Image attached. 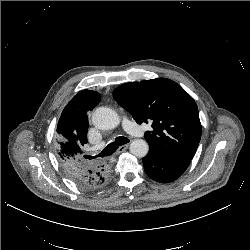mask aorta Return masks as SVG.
Masks as SVG:
<instances>
[{
    "instance_id": "1",
    "label": "aorta",
    "mask_w": 250,
    "mask_h": 250,
    "mask_svg": "<svg viewBox=\"0 0 250 250\" xmlns=\"http://www.w3.org/2000/svg\"><path fill=\"white\" fill-rule=\"evenodd\" d=\"M93 125L101 130H111L120 124V117L116 111L108 107L97 108L92 116ZM130 152L136 157H145L149 151L148 143L143 139L133 140Z\"/></svg>"
}]
</instances>
